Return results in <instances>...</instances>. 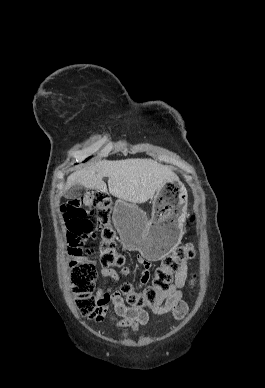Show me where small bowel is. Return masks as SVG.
Returning <instances> with one entry per match:
<instances>
[{"mask_svg": "<svg viewBox=\"0 0 265 388\" xmlns=\"http://www.w3.org/2000/svg\"><path fill=\"white\" fill-rule=\"evenodd\" d=\"M89 261L95 264L94 260ZM137 262L142 268L138 284L139 287H142L145 286L151 278L152 264L150 261L140 256L137 258ZM188 270V262H182L175 273L174 282L165 292L160 294L158 301L151 307L154 314L163 315L171 313L176 320H181L186 315L187 306L182 300L181 289L186 284ZM102 275L113 280L118 279L117 273L111 268L104 267ZM96 297L102 315H108L109 319L119 329H131L136 331L140 326L146 325L149 321V314L145 310L131 308L125 304L119 290L100 288ZM109 303L110 305H108Z\"/></svg>", "mask_w": 265, "mask_h": 388, "instance_id": "small-bowel-1", "label": "small bowel"}]
</instances>
